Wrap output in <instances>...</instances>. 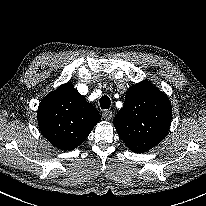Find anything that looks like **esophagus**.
I'll return each mask as SVG.
<instances>
[{
    "instance_id": "34e87169",
    "label": "esophagus",
    "mask_w": 206,
    "mask_h": 206,
    "mask_svg": "<svg viewBox=\"0 0 206 206\" xmlns=\"http://www.w3.org/2000/svg\"><path fill=\"white\" fill-rule=\"evenodd\" d=\"M102 116L105 120H110L113 116V112L111 110H105L103 113H102Z\"/></svg>"
}]
</instances>
